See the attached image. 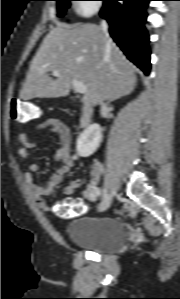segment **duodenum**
I'll list each match as a JSON object with an SVG mask.
<instances>
[{
	"instance_id": "duodenum-1",
	"label": "duodenum",
	"mask_w": 180,
	"mask_h": 299,
	"mask_svg": "<svg viewBox=\"0 0 180 299\" xmlns=\"http://www.w3.org/2000/svg\"><path fill=\"white\" fill-rule=\"evenodd\" d=\"M93 116V110L89 103H85L81 109L80 114V126L83 128L88 127L91 124Z\"/></svg>"
}]
</instances>
